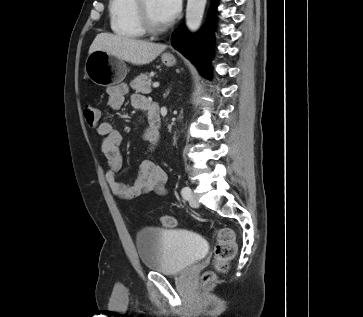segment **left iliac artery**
I'll return each instance as SVG.
<instances>
[{
  "mask_svg": "<svg viewBox=\"0 0 363 317\" xmlns=\"http://www.w3.org/2000/svg\"><path fill=\"white\" fill-rule=\"evenodd\" d=\"M181 194L185 199H189L190 198V194H191V189L189 187H184L181 190Z\"/></svg>",
  "mask_w": 363,
  "mask_h": 317,
  "instance_id": "1",
  "label": "left iliac artery"
}]
</instances>
